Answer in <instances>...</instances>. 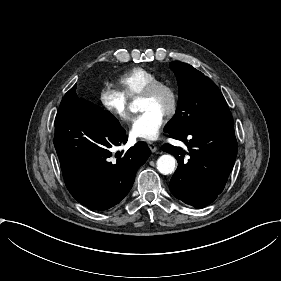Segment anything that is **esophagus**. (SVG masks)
I'll list each match as a JSON object with an SVG mask.
<instances>
[{
    "label": "esophagus",
    "instance_id": "34e87169",
    "mask_svg": "<svg viewBox=\"0 0 281 281\" xmlns=\"http://www.w3.org/2000/svg\"><path fill=\"white\" fill-rule=\"evenodd\" d=\"M147 145H148V147L150 148V150H151L152 152H156V151H157V146H156L153 142L148 141V142H147Z\"/></svg>",
    "mask_w": 281,
    "mask_h": 281
}]
</instances>
